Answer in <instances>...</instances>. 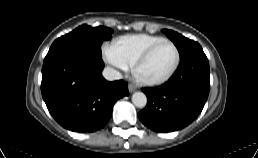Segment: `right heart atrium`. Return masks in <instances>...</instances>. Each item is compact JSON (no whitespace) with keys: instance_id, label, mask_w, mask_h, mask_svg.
I'll use <instances>...</instances> for the list:
<instances>
[{"instance_id":"obj_1","label":"right heart atrium","mask_w":258,"mask_h":158,"mask_svg":"<svg viewBox=\"0 0 258 158\" xmlns=\"http://www.w3.org/2000/svg\"><path fill=\"white\" fill-rule=\"evenodd\" d=\"M107 61L118 69L126 70L128 67L123 63L113 46L106 51Z\"/></svg>"}]
</instances>
